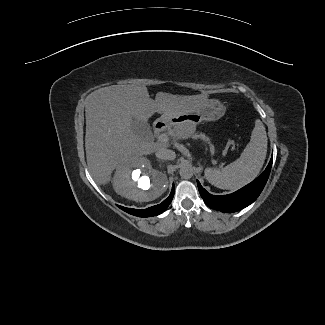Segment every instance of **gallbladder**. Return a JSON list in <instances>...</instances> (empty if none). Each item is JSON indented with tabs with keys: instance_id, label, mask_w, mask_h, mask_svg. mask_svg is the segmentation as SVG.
Returning <instances> with one entry per match:
<instances>
[{
	"instance_id": "gallbladder-1",
	"label": "gallbladder",
	"mask_w": 325,
	"mask_h": 325,
	"mask_svg": "<svg viewBox=\"0 0 325 325\" xmlns=\"http://www.w3.org/2000/svg\"><path fill=\"white\" fill-rule=\"evenodd\" d=\"M132 129L136 135L144 140H149L152 136L151 127L147 122H143L137 119H132Z\"/></svg>"
}]
</instances>
